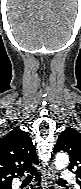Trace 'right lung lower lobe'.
I'll use <instances>...</instances> for the list:
<instances>
[{"mask_svg":"<svg viewBox=\"0 0 81 189\" xmlns=\"http://www.w3.org/2000/svg\"><path fill=\"white\" fill-rule=\"evenodd\" d=\"M32 172L36 174V177H35L36 180L40 181L41 178H40L39 173L36 171V169H34ZM0 189H11V185H9L8 187H0Z\"/></svg>","mask_w":81,"mask_h":189,"instance_id":"1","label":"right lung lower lobe"}]
</instances>
